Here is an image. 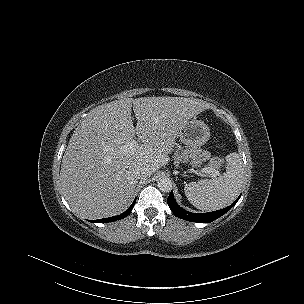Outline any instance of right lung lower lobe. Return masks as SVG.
I'll return each instance as SVG.
<instances>
[{"mask_svg": "<svg viewBox=\"0 0 304 304\" xmlns=\"http://www.w3.org/2000/svg\"><path fill=\"white\" fill-rule=\"evenodd\" d=\"M136 199L134 200V202L132 203V205L122 214L118 215V216H114V217H109V218H104V219H99V220H91V222H98V223H105V222H112V221H116V220H120L125 218L133 209L134 205H135Z\"/></svg>", "mask_w": 304, "mask_h": 304, "instance_id": "98d812e1", "label": "right lung lower lobe"}]
</instances>
